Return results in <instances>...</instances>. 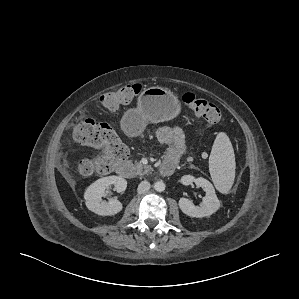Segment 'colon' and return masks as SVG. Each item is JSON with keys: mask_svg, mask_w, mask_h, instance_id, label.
<instances>
[{"mask_svg": "<svg viewBox=\"0 0 299 299\" xmlns=\"http://www.w3.org/2000/svg\"><path fill=\"white\" fill-rule=\"evenodd\" d=\"M141 89L140 84H130L104 93L98 100L99 105L106 109H117L132 102ZM181 101L187 109L203 118L209 127L220 122L221 111L212 102L191 92L184 93ZM72 134L78 143L101 150L97 156L78 163V171L83 175L108 174L127 156L126 146L106 123L82 120L73 127Z\"/></svg>", "mask_w": 299, "mask_h": 299, "instance_id": "colon-1", "label": "colon"}]
</instances>
